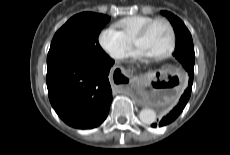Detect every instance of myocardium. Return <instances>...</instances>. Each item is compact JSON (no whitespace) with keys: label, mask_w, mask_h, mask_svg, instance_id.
<instances>
[{"label":"myocardium","mask_w":230,"mask_h":155,"mask_svg":"<svg viewBox=\"0 0 230 155\" xmlns=\"http://www.w3.org/2000/svg\"><path fill=\"white\" fill-rule=\"evenodd\" d=\"M157 22H164L170 30V43H169V46L167 47V49L158 55L152 56V58L154 60H162L164 58L169 57L172 54V52L174 51L175 46H176L177 37H176L175 27L169 19L164 18V17H158V18H154L153 20L149 21L135 35V37L133 39V43H134V45H136V42L138 40L142 39L143 37H145L148 34V32L150 31L151 27Z\"/></svg>","instance_id":"f54148a6"}]
</instances>
